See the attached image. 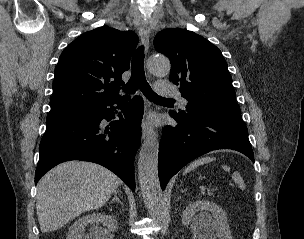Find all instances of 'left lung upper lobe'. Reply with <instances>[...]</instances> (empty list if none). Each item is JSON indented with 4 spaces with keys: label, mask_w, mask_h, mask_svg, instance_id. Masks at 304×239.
Masks as SVG:
<instances>
[{
    "label": "left lung upper lobe",
    "mask_w": 304,
    "mask_h": 239,
    "mask_svg": "<svg viewBox=\"0 0 304 239\" xmlns=\"http://www.w3.org/2000/svg\"><path fill=\"white\" fill-rule=\"evenodd\" d=\"M154 46L170 59L169 80L180 85L188 100L181 116L242 119L227 63L215 45L192 31L166 29L157 34Z\"/></svg>",
    "instance_id": "1"
}]
</instances>
